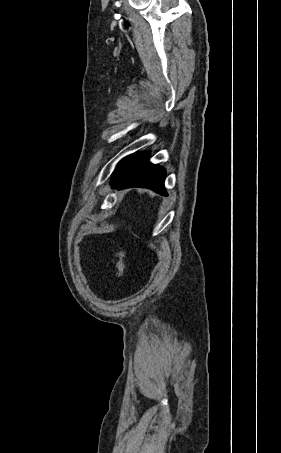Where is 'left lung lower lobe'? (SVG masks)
Segmentation results:
<instances>
[{
  "instance_id": "left-lung-lower-lobe-1",
  "label": "left lung lower lobe",
  "mask_w": 281,
  "mask_h": 453,
  "mask_svg": "<svg viewBox=\"0 0 281 453\" xmlns=\"http://www.w3.org/2000/svg\"><path fill=\"white\" fill-rule=\"evenodd\" d=\"M149 153L131 154L122 159L114 170L111 185L114 188L142 187L166 195L165 170L149 161Z\"/></svg>"
}]
</instances>
